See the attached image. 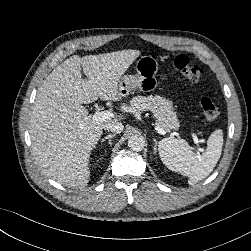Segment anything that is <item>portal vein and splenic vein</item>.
<instances>
[{
	"instance_id": "obj_1",
	"label": "portal vein and splenic vein",
	"mask_w": 251,
	"mask_h": 251,
	"mask_svg": "<svg viewBox=\"0 0 251 251\" xmlns=\"http://www.w3.org/2000/svg\"><path fill=\"white\" fill-rule=\"evenodd\" d=\"M113 117H114V114L111 111L105 110V111L95 112L92 119L95 121H106V120L112 119ZM155 130L157 131V133L161 135L166 134V131L162 129L158 124L155 125ZM191 136L193 138L194 144L197 146V150L203 151V149L199 145L200 140L198 139L197 135L195 133H192Z\"/></svg>"
}]
</instances>
